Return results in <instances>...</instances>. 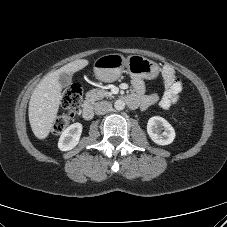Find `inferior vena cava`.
Masks as SVG:
<instances>
[{"label": "inferior vena cava", "mask_w": 227, "mask_h": 227, "mask_svg": "<svg viewBox=\"0 0 227 227\" xmlns=\"http://www.w3.org/2000/svg\"><path fill=\"white\" fill-rule=\"evenodd\" d=\"M94 110L97 115H104L112 110V104L109 101H100L95 104Z\"/></svg>", "instance_id": "inferior-vena-cava-1"}]
</instances>
